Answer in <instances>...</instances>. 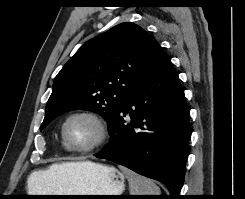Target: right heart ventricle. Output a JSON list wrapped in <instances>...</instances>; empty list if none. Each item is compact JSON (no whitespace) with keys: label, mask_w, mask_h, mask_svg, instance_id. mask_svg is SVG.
<instances>
[{"label":"right heart ventricle","mask_w":245,"mask_h":199,"mask_svg":"<svg viewBox=\"0 0 245 199\" xmlns=\"http://www.w3.org/2000/svg\"><path fill=\"white\" fill-rule=\"evenodd\" d=\"M62 145H63V147H64L65 149H68V148L66 147V145L64 144V142L62 143Z\"/></svg>","instance_id":"obj_1"}]
</instances>
